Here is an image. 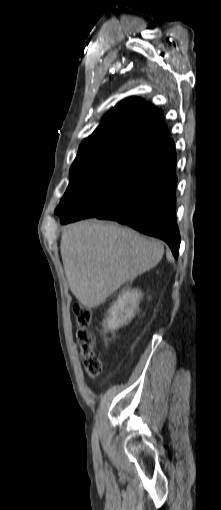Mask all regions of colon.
I'll return each mask as SVG.
<instances>
[{
	"label": "colon",
	"mask_w": 221,
	"mask_h": 510,
	"mask_svg": "<svg viewBox=\"0 0 221 510\" xmlns=\"http://www.w3.org/2000/svg\"><path fill=\"white\" fill-rule=\"evenodd\" d=\"M79 329L76 334L80 347V360L87 377L94 378L102 372L103 364L95 352L96 341L89 330L92 321V309L87 306L77 305L74 308Z\"/></svg>",
	"instance_id": "1"
}]
</instances>
